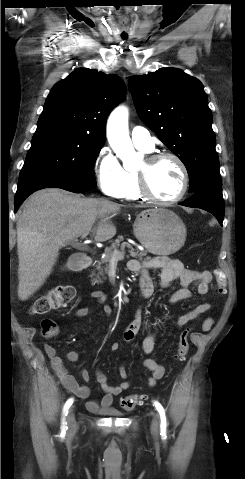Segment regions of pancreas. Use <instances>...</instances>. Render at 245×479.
<instances>
[{
	"label": "pancreas",
	"instance_id": "pancreas-1",
	"mask_svg": "<svg viewBox=\"0 0 245 479\" xmlns=\"http://www.w3.org/2000/svg\"><path fill=\"white\" fill-rule=\"evenodd\" d=\"M123 241H124L123 236H118L115 242H113L109 247L105 248V257L102 258L96 266L97 273L95 272L92 273V276L95 277L93 278L94 281H99L100 276H103L104 274L108 272L109 262L111 261L113 251L126 243ZM146 255H147L146 252H139V251L131 252L132 257L139 258L140 260H143L144 257H145L144 260L150 259V257ZM103 264L104 266H102Z\"/></svg>",
	"mask_w": 245,
	"mask_h": 479
}]
</instances>
